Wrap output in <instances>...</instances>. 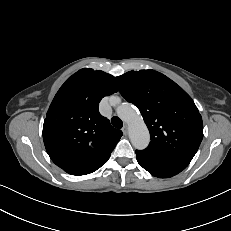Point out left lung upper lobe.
I'll use <instances>...</instances> for the list:
<instances>
[{"label":"left lung upper lobe","instance_id":"1","mask_svg":"<svg viewBox=\"0 0 231 231\" xmlns=\"http://www.w3.org/2000/svg\"><path fill=\"white\" fill-rule=\"evenodd\" d=\"M121 95L138 107L149 129V146L138 151L152 160L187 167L203 138L202 117L191 97L154 70L116 77Z\"/></svg>","mask_w":231,"mask_h":231}]
</instances>
